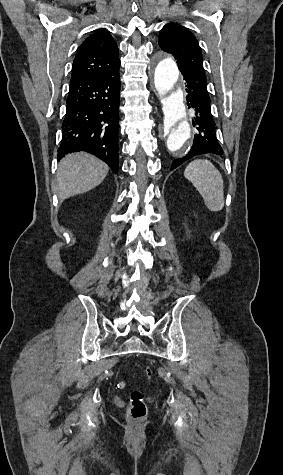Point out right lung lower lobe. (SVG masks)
Listing matches in <instances>:
<instances>
[{
    "label": "right lung lower lobe",
    "instance_id": "98d812e1",
    "mask_svg": "<svg viewBox=\"0 0 283 475\" xmlns=\"http://www.w3.org/2000/svg\"><path fill=\"white\" fill-rule=\"evenodd\" d=\"M119 70L101 77L71 79L58 160L86 151L118 172Z\"/></svg>",
    "mask_w": 283,
    "mask_h": 475
}]
</instances>
